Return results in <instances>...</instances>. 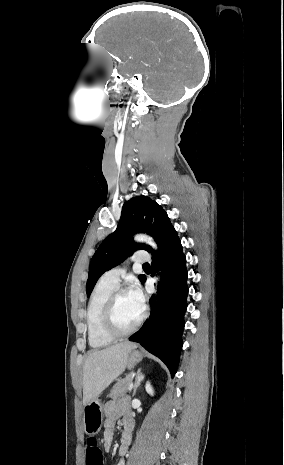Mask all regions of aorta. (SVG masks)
<instances>
[{
	"instance_id": "762f6f07",
	"label": "aorta",
	"mask_w": 284,
	"mask_h": 465,
	"mask_svg": "<svg viewBox=\"0 0 284 465\" xmlns=\"http://www.w3.org/2000/svg\"><path fill=\"white\" fill-rule=\"evenodd\" d=\"M135 240L139 241V242H146L149 245H151L153 248H155V249L157 248L155 242L150 237L139 235V236L135 237Z\"/></svg>"
}]
</instances>
